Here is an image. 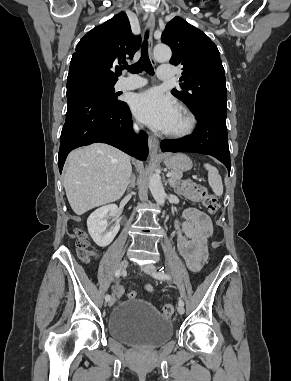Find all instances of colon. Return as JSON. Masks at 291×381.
I'll return each instance as SVG.
<instances>
[{
    "label": "colon",
    "instance_id": "5ec220e1",
    "mask_svg": "<svg viewBox=\"0 0 291 381\" xmlns=\"http://www.w3.org/2000/svg\"><path fill=\"white\" fill-rule=\"evenodd\" d=\"M177 190L189 201L203 204L210 214H216L219 211L218 199L214 195L210 194L204 186L190 180H185L178 184ZM76 234L78 237V255L83 261L88 262L95 256V252L88 237L82 230H77ZM213 246L216 247L217 242H214ZM116 293L119 296L124 294L121 289H116ZM127 297L129 299H134L137 297V293L135 291H130L127 293ZM173 314L174 306L172 304H165L162 308V315L166 318H171Z\"/></svg>",
    "mask_w": 291,
    "mask_h": 381
}]
</instances>
